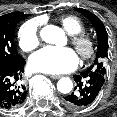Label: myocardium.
Here are the masks:
<instances>
[{"label":"myocardium","instance_id":"myocardium-1","mask_svg":"<svg viewBox=\"0 0 117 117\" xmlns=\"http://www.w3.org/2000/svg\"><path fill=\"white\" fill-rule=\"evenodd\" d=\"M70 42L83 60L92 58L96 52V42L88 35L82 33L71 35Z\"/></svg>","mask_w":117,"mask_h":117}]
</instances>
